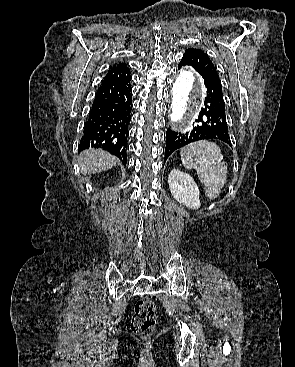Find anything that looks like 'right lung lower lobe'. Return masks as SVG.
Here are the masks:
<instances>
[{
  "label": "right lung lower lobe",
  "mask_w": 295,
  "mask_h": 367,
  "mask_svg": "<svg viewBox=\"0 0 295 367\" xmlns=\"http://www.w3.org/2000/svg\"><path fill=\"white\" fill-rule=\"evenodd\" d=\"M130 79L103 81L95 95L89 119L79 144V151L102 148L127 162V137L131 121L132 92Z\"/></svg>",
  "instance_id": "obj_1"
}]
</instances>
